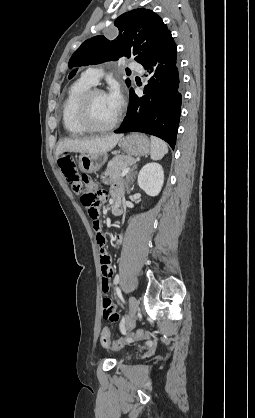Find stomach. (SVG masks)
Wrapping results in <instances>:
<instances>
[{
  "instance_id": "1",
  "label": "stomach",
  "mask_w": 255,
  "mask_h": 418,
  "mask_svg": "<svg viewBox=\"0 0 255 418\" xmlns=\"http://www.w3.org/2000/svg\"><path fill=\"white\" fill-rule=\"evenodd\" d=\"M120 146L128 156L147 155L151 150L148 137L139 133L123 137L120 141ZM106 160V153H81L79 156V168L84 173L97 172Z\"/></svg>"
}]
</instances>
